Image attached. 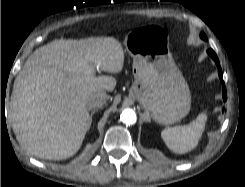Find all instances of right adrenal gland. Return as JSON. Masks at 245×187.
Instances as JSON below:
<instances>
[{"mask_svg":"<svg viewBox=\"0 0 245 187\" xmlns=\"http://www.w3.org/2000/svg\"><path fill=\"white\" fill-rule=\"evenodd\" d=\"M96 111H97V109H93V110L91 111L89 128H90V126H91V124H92V118H93V115H94V113H95Z\"/></svg>","mask_w":245,"mask_h":187,"instance_id":"obj_1","label":"right adrenal gland"}]
</instances>
